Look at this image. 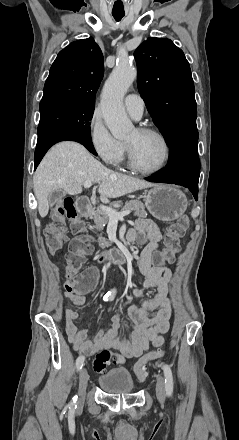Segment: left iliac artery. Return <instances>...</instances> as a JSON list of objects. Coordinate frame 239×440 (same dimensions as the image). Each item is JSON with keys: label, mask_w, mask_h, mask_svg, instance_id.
I'll return each instance as SVG.
<instances>
[{"label": "left iliac artery", "mask_w": 239, "mask_h": 440, "mask_svg": "<svg viewBox=\"0 0 239 440\" xmlns=\"http://www.w3.org/2000/svg\"><path fill=\"white\" fill-rule=\"evenodd\" d=\"M163 371H164V376H165V390H166V394L168 396L172 395L173 392V376H172V371L169 365L164 364L163 365Z\"/></svg>", "instance_id": "44dca946"}]
</instances>
